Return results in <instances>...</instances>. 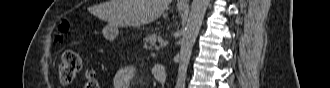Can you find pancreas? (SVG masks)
I'll list each match as a JSON object with an SVG mask.
<instances>
[{
	"mask_svg": "<svg viewBox=\"0 0 330 88\" xmlns=\"http://www.w3.org/2000/svg\"><path fill=\"white\" fill-rule=\"evenodd\" d=\"M160 39V33H153L151 35H147L145 38H144V41H145V45L146 47L148 48H152V47H157L156 46V41Z\"/></svg>",
	"mask_w": 330,
	"mask_h": 88,
	"instance_id": "pancreas-1",
	"label": "pancreas"
}]
</instances>
